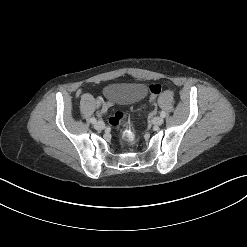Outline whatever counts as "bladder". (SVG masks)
Returning a JSON list of instances; mask_svg holds the SVG:
<instances>
[{
    "instance_id": "bladder-1",
    "label": "bladder",
    "mask_w": 247,
    "mask_h": 247,
    "mask_svg": "<svg viewBox=\"0 0 247 247\" xmlns=\"http://www.w3.org/2000/svg\"><path fill=\"white\" fill-rule=\"evenodd\" d=\"M106 97L116 103L130 104L141 100L147 93V87L142 83H114L105 87Z\"/></svg>"
}]
</instances>
